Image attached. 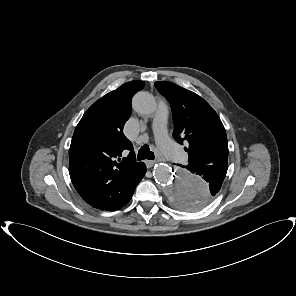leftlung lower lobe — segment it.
Returning <instances> with one entry per match:
<instances>
[{"instance_id":"obj_1","label":"left lung lower lobe","mask_w":296,"mask_h":296,"mask_svg":"<svg viewBox=\"0 0 296 296\" xmlns=\"http://www.w3.org/2000/svg\"><path fill=\"white\" fill-rule=\"evenodd\" d=\"M214 167L210 165H197L192 168V170H195L193 173L202 176L209 183L208 189L198 191L192 195V198L196 199L198 206H206L216 196L226 176L228 165L221 164L216 166L217 168Z\"/></svg>"}]
</instances>
